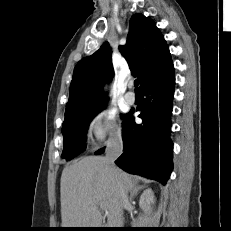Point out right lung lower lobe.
I'll return each instance as SVG.
<instances>
[{
    "mask_svg": "<svg viewBox=\"0 0 231 231\" xmlns=\"http://www.w3.org/2000/svg\"><path fill=\"white\" fill-rule=\"evenodd\" d=\"M175 76L169 75L152 81L141 88L144 96L137 107L142 124L132 121L134 111L123 117V153L115 161L121 169L154 179L165 185L173 169L171 111ZM104 149L95 152L102 154Z\"/></svg>",
    "mask_w": 231,
    "mask_h": 231,
    "instance_id": "1",
    "label": "right lung lower lobe"
}]
</instances>
